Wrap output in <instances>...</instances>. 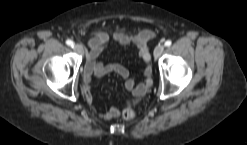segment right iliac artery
<instances>
[{
	"instance_id": "right-iliac-artery-1",
	"label": "right iliac artery",
	"mask_w": 247,
	"mask_h": 145,
	"mask_svg": "<svg viewBox=\"0 0 247 145\" xmlns=\"http://www.w3.org/2000/svg\"><path fill=\"white\" fill-rule=\"evenodd\" d=\"M66 44L73 47L74 43L71 40H66Z\"/></svg>"
}]
</instances>
